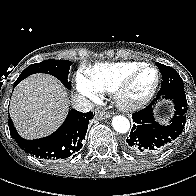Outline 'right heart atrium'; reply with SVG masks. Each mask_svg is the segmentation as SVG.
Wrapping results in <instances>:
<instances>
[{"instance_id": "obj_1", "label": "right heart atrium", "mask_w": 196, "mask_h": 196, "mask_svg": "<svg viewBox=\"0 0 196 196\" xmlns=\"http://www.w3.org/2000/svg\"><path fill=\"white\" fill-rule=\"evenodd\" d=\"M76 83L78 91L91 100H97L100 97L99 90L92 84L88 76L79 71L76 75Z\"/></svg>"}]
</instances>
